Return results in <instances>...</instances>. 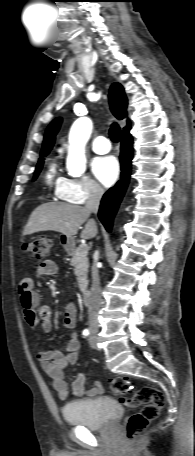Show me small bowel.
<instances>
[{
    "label": "small bowel",
    "mask_w": 195,
    "mask_h": 456,
    "mask_svg": "<svg viewBox=\"0 0 195 456\" xmlns=\"http://www.w3.org/2000/svg\"><path fill=\"white\" fill-rule=\"evenodd\" d=\"M57 264L52 260L41 262L34 268L38 278L51 276L57 273ZM35 282L31 277L22 278L18 285V295L25 321L31 328L40 327L45 333L52 329L51 310L47 305H39V296L35 291ZM76 324V309L68 304L64 312V326L72 330ZM79 340L75 331H71L65 352L57 349L40 351L37 358L42 369L50 377L52 386L59 399L66 400L69 396V387L64 379V371L74 365L78 359ZM86 375L79 373L71 384V392L76 397H94L103 393L102 384L95 381L91 389L85 388Z\"/></svg>",
    "instance_id": "c3829d8e"
}]
</instances>
